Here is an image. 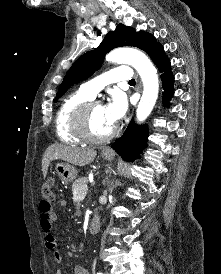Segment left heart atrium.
<instances>
[{
	"instance_id": "left-heart-atrium-1",
	"label": "left heart atrium",
	"mask_w": 221,
	"mask_h": 274,
	"mask_svg": "<svg viewBox=\"0 0 221 274\" xmlns=\"http://www.w3.org/2000/svg\"><path fill=\"white\" fill-rule=\"evenodd\" d=\"M127 106L125 99L116 95L113 99L105 106V116L108 124L114 127L125 115Z\"/></svg>"
}]
</instances>
